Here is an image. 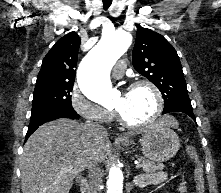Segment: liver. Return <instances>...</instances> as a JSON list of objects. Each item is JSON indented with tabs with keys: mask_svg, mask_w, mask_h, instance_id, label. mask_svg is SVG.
I'll return each instance as SVG.
<instances>
[{
	"mask_svg": "<svg viewBox=\"0 0 221 193\" xmlns=\"http://www.w3.org/2000/svg\"><path fill=\"white\" fill-rule=\"evenodd\" d=\"M159 122L178 127L176 119L170 116ZM110 152L107 133L95 132L86 124L66 118L45 123L24 146L20 164L22 193H69L74 178L90 160L102 162ZM69 166L73 168L62 170Z\"/></svg>",
	"mask_w": 221,
	"mask_h": 193,
	"instance_id": "1",
	"label": "liver"
}]
</instances>
